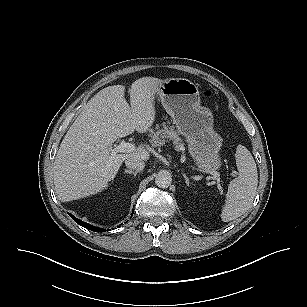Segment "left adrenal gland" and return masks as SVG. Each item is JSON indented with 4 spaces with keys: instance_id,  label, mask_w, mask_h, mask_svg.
<instances>
[{
    "instance_id": "left-adrenal-gland-1",
    "label": "left adrenal gland",
    "mask_w": 307,
    "mask_h": 307,
    "mask_svg": "<svg viewBox=\"0 0 307 307\" xmlns=\"http://www.w3.org/2000/svg\"><path fill=\"white\" fill-rule=\"evenodd\" d=\"M183 177L185 178L186 184L189 186L190 185L189 178L186 176L185 173H183Z\"/></svg>"
}]
</instances>
